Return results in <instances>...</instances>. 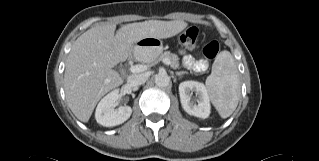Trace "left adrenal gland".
<instances>
[{
    "instance_id": "a2214340",
    "label": "left adrenal gland",
    "mask_w": 319,
    "mask_h": 161,
    "mask_svg": "<svg viewBox=\"0 0 319 161\" xmlns=\"http://www.w3.org/2000/svg\"><path fill=\"white\" fill-rule=\"evenodd\" d=\"M183 74H187V72H185V71L176 72V75H177V76H180V77H181Z\"/></svg>"
}]
</instances>
